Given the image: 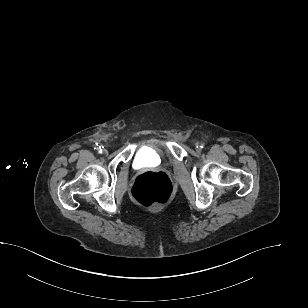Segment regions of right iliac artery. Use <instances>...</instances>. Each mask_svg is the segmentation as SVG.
<instances>
[{
  "label": "right iliac artery",
  "mask_w": 308,
  "mask_h": 308,
  "mask_svg": "<svg viewBox=\"0 0 308 308\" xmlns=\"http://www.w3.org/2000/svg\"><path fill=\"white\" fill-rule=\"evenodd\" d=\"M94 149H97L99 153H102L103 146L101 147V146H98L97 144V148H94Z\"/></svg>",
  "instance_id": "82829eb1"
}]
</instances>
